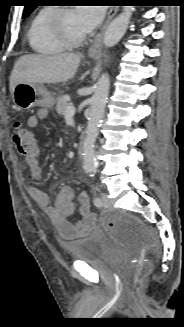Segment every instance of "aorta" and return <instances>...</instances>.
<instances>
[{"mask_svg": "<svg viewBox=\"0 0 184 327\" xmlns=\"http://www.w3.org/2000/svg\"><path fill=\"white\" fill-rule=\"evenodd\" d=\"M134 11L133 6H125L123 11L108 25L103 43L106 47L115 46L126 33L130 18ZM110 88V78L103 73L99 78L94 94L91 98V112L87 124L86 137L83 143V168L86 173L96 172L95 142L100 123L104 117Z\"/></svg>", "mask_w": 184, "mask_h": 327, "instance_id": "1", "label": "aorta"}]
</instances>
